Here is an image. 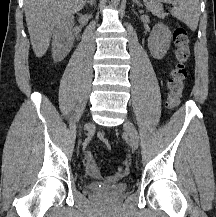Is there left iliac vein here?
Instances as JSON below:
<instances>
[{
    "label": "left iliac vein",
    "instance_id": "1",
    "mask_svg": "<svg viewBox=\"0 0 216 217\" xmlns=\"http://www.w3.org/2000/svg\"><path fill=\"white\" fill-rule=\"evenodd\" d=\"M123 127L130 138V142H131L132 147L134 149H137L138 144H139V136H138V132H137L135 126L133 125V123L131 121L126 120L124 122Z\"/></svg>",
    "mask_w": 216,
    "mask_h": 217
}]
</instances>
